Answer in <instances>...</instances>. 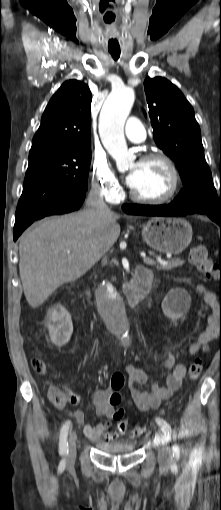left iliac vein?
Returning a JSON list of instances; mask_svg holds the SVG:
<instances>
[{"label": "left iliac vein", "instance_id": "4c4485c4", "mask_svg": "<svg viewBox=\"0 0 221 510\" xmlns=\"http://www.w3.org/2000/svg\"><path fill=\"white\" fill-rule=\"evenodd\" d=\"M157 440L159 441V448H158V459L162 466H167L169 463V453L168 448L165 443V441L157 435Z\"/></svg>", "mask_w": 221, "mask_h": 510}]
</instances>
